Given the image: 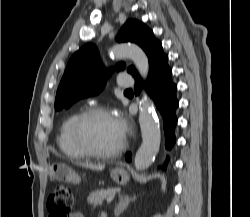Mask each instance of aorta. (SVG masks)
<instances>
[{"label": "aorta", "mask_w": 250, "mask_h": 217, "mask_svg": "<svg viewBox=\"0 0 250 217\" xmlns=\"http://www.w3.org/2000/svg\"><path fill=\"white\" fill-rule=\"evenodd\" d=\"M110 53L117 58H130L135 64L139 74L146 77L149 70V62L145 52L135 44H118L111 48ZM139 123L142 133V144L138 149L134 165L137 170L148 168L160 146V125L153 105L144 100L140 105Z\"/></svg>", "instance_id": "aorta-1"}]
</instances>
